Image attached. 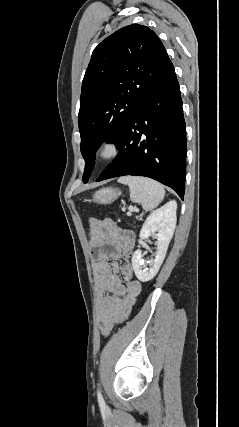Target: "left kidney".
Segmentation results:
<instances>
[{
    "label": "left kidney",
    "mask_w": 239,
    "mask_h": 427,
    "mask_svg": "<svg viewBox=\"0 0 239 427\" xmlns=\"http://www.w3.org/2000/svg\"><path fill=\"white\" fill-rule=\"evenodd\" d=\"M177 203L173 200L153 211L145 220L140 231V238L146 240L154 236L156 241L155 259L149 263L147 268L142 260V251L136 250L132 256V266L136 277L141 282H147L158 273L162 265L168 245L176 227Z\"/></svg>",
    "instance_id": "1"
}]
</instances>
